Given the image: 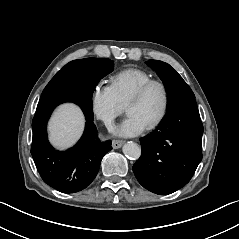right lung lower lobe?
<instances>
[{
	"mask_svg": "<svg viewBox=\"0 0 239 239\" xmlns=\"http://www.w3.org/2000/svg\"><path fill=\"white\" fill-rule=\"evenodd\" d=\"M64 102H74L86 117L85 131L80 141L68 151L55 150L47 139V121L54 108ZM31 154L43 181L62 193L85 189L95 178L102 157L112 149L111 141L101 142L93 123L92 95L72 90L41 100L32 121Z\"/></svg>",
	"mask_w": 239,
	"mask_h": 239,
	"instance_id": "1",
	"label": "right lung lower lobe"
}]
</instances>
